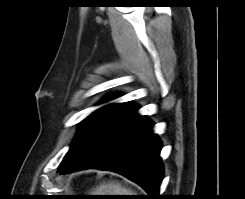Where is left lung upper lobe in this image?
I'll use <instances>...</instances> for the list:
<instances>
[{"instance_id":"obj_1","label":"left lung upper lobe","mask_w":245,"mask_h":199,"mask_svg":"<svg viewBox=\"0 0 245 199\" xmlns=\"http://www.w3.org/2000/svg\"><path fill=\"white\" fill-rule=\"evenodd\" d=\"M115 97L108 98L103 102L110 101ZM132 104L118 103V104H109L103 106L88 117H86L80 127L78 136L75 138L70 150L65 155L63 161L59 166L58 171H63L68 168L82 153L85 146L90 142V140L102 130L108 123L113 121L117 116H119L123 111L129 108Z\"/></svg>"}]
</instances>
